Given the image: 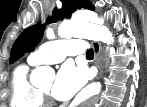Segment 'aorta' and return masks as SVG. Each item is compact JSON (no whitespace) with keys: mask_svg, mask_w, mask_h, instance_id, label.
<instances>
[{"mask_svg":"<svg viewBox=\"0 0 147 107\" xmlns=\"http://www.w3.org/2000/svg\"><path fill=\"white\" fill-rule=\"evenodd\" d=\"M59 36L62 38L80 37L95 41H101L110 45L114 41V37L108 28L99 25L94 19L86 17H74L70 21L61 23L58 27ZM50 36V33H47ZM55 72L49 66L38 67L32 74V81L36 83L45 78H54ZM100 83H95L87 88L89 95L87 104L93 105L98 101V92L100 90Z\"/></svg>","mask_w":147,"mask_h":107,"instance_id":"obj_1","label":"aorta"}]
</instances>
